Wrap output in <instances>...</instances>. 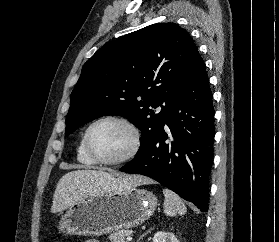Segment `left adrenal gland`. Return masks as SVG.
Returning a JSON list of instances; mask_svg holds the SVG:
<instances>
[{"mask_svg": "<svg viewBox=\"0 0 279 242\" xmlns=\"http://www.w3.org/2000/svg\"><path fill=\"white\" fill-rule=\"evenodd\" d=\"M148 232H150V230L147 231L146 233H148ZM146 233H144V234L139 238V240H140ZM139 240H138V242H139Z\"/></svg>", "mask_w": 279, "mask_h": 242, "instance_id": "1", "label": "left adrenal gland"}]
</instances>
